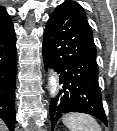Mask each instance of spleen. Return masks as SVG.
<instances>
[{"instance_id": "spleen-1", "label": "spleen", "mask_w": 117, "mask_h": 131, "mask_svg": "<svg viewBox=\"0 0 117 131\" xmlns=\"http://www.w3.org/2000/svg\"><path fill=\"white\" fill-rule=\"evenodd\" d=\"M62 122L70 131H101L97 121L84 113H69L63 117Z\"/></svg>"}]
</instances>
